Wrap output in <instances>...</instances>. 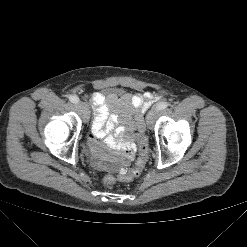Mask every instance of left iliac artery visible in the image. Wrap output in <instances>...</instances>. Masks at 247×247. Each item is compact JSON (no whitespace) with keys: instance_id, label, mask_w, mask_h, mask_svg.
<instances>
[{"instance_id":"44dca946","label":"left iliac artery","mask_w":247,"mask_h":247,"mask_svg":"<svg viewBox=\"0 0 247 247\" xmlns=\"http://www.w3.org/2000/svg\"><path fill=\"white\" fill-rule=\"evenodd\" d=\"M168 107V103L167 102H161L157 105V109L158 110H164Z\"/></svg>"}]
</instances>
